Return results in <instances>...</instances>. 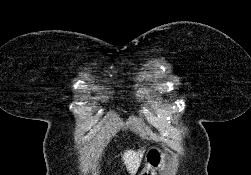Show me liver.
<instances>
[{
    "label": "liver",
    "mask_w": 251,
    "mask_h": 175,
    "mask_svg": "<svg viewBox=\"0 0 251 175\" xmlns=\"http://www.w3.org/2000/svg\"><path fill=\"white\" fill-rule=\"evenodd\" d=\"M144 151L145 149H138V151H134V149H125L124 153H122L124 165L131 175H135L136 171H138Z\"/></svg>",
    "instance_id": "liver-1"
}]
</instances>
